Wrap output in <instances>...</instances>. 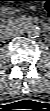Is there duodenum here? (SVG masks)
<instances>
[{"label": "duodenum", "instance_id": "1", "mask_svg": "<svg viewBox=\"0 0 50 111\" xmlns=\"http://www.w3.org/2000/svg\"><path fill=\"white\" fill-rule=\"evenodd\" d=\"M35 25L43 26V23L40 21H34L32 19L26 20V22L24 23L25 27H32Z\"/></svg>", "mask_w": 50, "mask_h": 111}]
</instances>
